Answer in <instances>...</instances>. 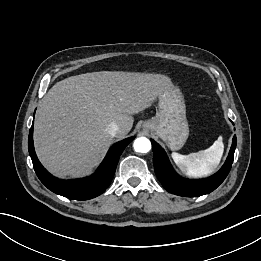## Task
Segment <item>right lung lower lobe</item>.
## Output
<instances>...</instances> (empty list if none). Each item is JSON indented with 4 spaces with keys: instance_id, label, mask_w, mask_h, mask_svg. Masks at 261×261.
Here are the masks:
<instances>
[{
    "instance_id": "right-lung-lower-lobe-1",
    "label": "right lung lower lobe",
    "mask_w": 261,
    "mask_h": 261,
    "mask_svg": "<svg viewBox=\"0 0 261 261\" xmlns=\"http://www.w3.org/2000/svg\"><path fill=\"white\" fill-rule=\"evenodd\" d=\"M134 139L130 137L114 144L94 175L85 179L60 180L48 173L39 162L33 145V124L29 131L28 150L34 170L40 181L52 192L74 200H88L102 194L110 185L118 160L125 147Z\"/></svg>"
}]
</instances>
